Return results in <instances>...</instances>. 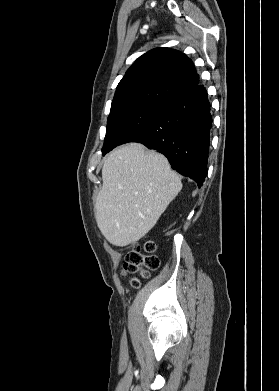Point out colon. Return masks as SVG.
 I'll use <instances>...</instances> for the list:
<instances>
[{"instance_id": "5ec220e1", "label": "colon", "mask_w": 279, "mask_h": 391, "mask_svg": "<svg viewBox=\"0 0 279 391\" xmlns=\"http://www.w3.org/2000/svg\"><path fill=\"white\" fill-rule=\"evenodd\" d=\"M154 251L155 244L151 241L146 242L142 247L138 244H133L125 255L124 272L129 274L140 272L147 277L149 271L157 269L160 265L158 257L153 254ZM133 283L135 286L138 284L136 280Z\"/></svg>"}]
</instances>
